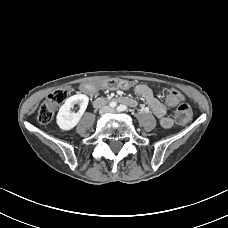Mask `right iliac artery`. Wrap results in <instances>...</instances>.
Wrapping results in <instances>:
<instances>
[{"mask_svg":"<svg viewBox=\"0 0 228 228\" xmlns=\"http://www.w3.org/2000/svg\"><path fill=\"white\" fill-rule=\"evenodd\" d=\"M109 106L114 108L117 106V103L115 101H112V102H110Z\"/></svg>","mask_w":228,"mask_h":228,"instance_id":"1","label":"right iliac artery"}]
</instances>
